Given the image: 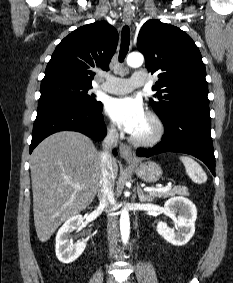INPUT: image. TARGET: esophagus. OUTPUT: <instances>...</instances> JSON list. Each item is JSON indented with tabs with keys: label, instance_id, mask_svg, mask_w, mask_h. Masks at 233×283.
Here are the masks:
<instances>
[{
	"label": "esophagus",
	"instance_id": "1",
	"mask_svg": "<svg viewBox=\"0 0 233 283\" xmlns=\"http://www.w3.org/2000/svg\"><path fill=\"white\" fill-rule=\"evenodd\" d=\"M133 15H134L133 10L130 7H126L124 9L125 23L130 24L133 19ZM119 150H120V156L127 162L132 163L136 161V158L134 157V154L128 145L124 143H120Z\"/></svg>",
	"mask_w": 233,
	"mask_h": 283
}]
</instances>
